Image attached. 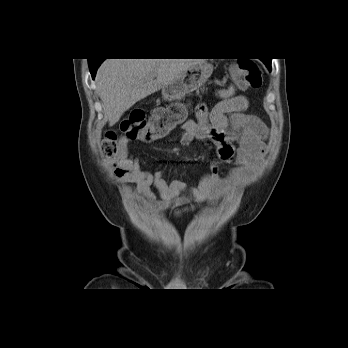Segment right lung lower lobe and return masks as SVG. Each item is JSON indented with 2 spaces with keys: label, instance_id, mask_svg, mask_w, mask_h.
<instances>
[{
  "label": "right lung lower lobe",
  "instance_id": "obj_1",
  "mask_svg": "<svg viewBox=\"0 0 348 348\" xmlns=\"http://www.w3.org/2000/svg\"><path fill=\"white\" fill-rule=\"evenodd\" d=\"M102 61L103 60H91V62L89 63V67H90V71H91L93 79L95 77L96 70Z\"/></svg>",
  "mask_w": 348,
  "mask_h": 348
}]
</instances>
